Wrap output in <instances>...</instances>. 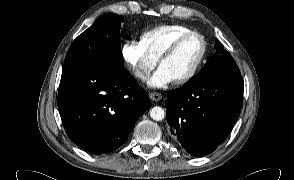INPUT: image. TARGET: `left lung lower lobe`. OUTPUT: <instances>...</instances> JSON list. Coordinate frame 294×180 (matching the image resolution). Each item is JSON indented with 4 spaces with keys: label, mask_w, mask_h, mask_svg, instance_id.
Wrapping results in <instances>:
<instances>
[{
    "label": "left lung lower lobe",
    "mask_w": 294,
    "mask_h": 180,
    "mask_svg": "<svg viewBox=\"0 0 294 180\" xmlns=\"http://www.w3.org/2000/svg\"><path fill=\"white\" fill-rule=\"evenodd\" d=\"M243 84L241 75L219 76L171 91L165 103L171 137L193 156L212 153L240 115Z\"/></svg>",
    "instance_id": "1"
}]
</instances>
